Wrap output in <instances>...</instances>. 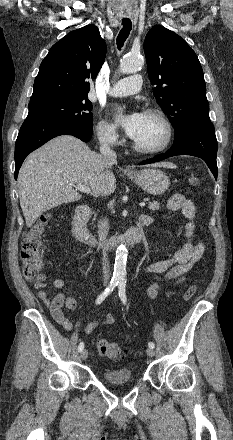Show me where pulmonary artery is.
<instances>
[{
	"label": "pulmonary artery",
	"instance_id": "e3ab8cb5",
	"mask_svg": "<svg viewBox=\"0 0 233 440\" xmlns=\"http://www.w3.org/2000/svg\"><path fill=\"white\" fill-rule=\"evenodd\" d=\"M142 86V76L139 74L131 75L114 83L108 94L115 97L133 95L140 91Z\"/></svg>",
	"mask_w": 233,
	"mask_h": 440
}]
</instances>
